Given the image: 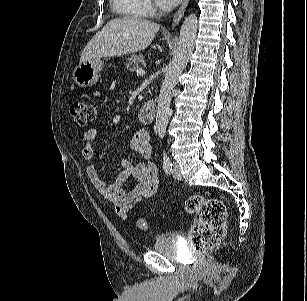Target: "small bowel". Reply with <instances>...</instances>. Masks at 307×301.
Wrapping results in <instances>:
<instances>
[{"label": "small bowel", "instance_id": "1", "mask_svg": "<svg viewBox=\"0 0 307 301\" xmlns=\"http://www.w3.org/2000/svg\"><path fill=\"white\" fill-rule=\"evenodd\" d=\"M99 132L89 129L83 134L84 159L90 160L94 155V142ZM131 149L139 154L144 161L133 164L128 157L122 159V170L111 183L103 181L96 168L89 165L87 176L100 195L110 202L115 213L122 220L127 218L129 211L143 199L152 197L159 190V180L156 166L151 161L152 147L147 130L139 129L131 140ZM133 184L130 185V181Z\"/></svg>", "mask_w": 307, "mask_h": 301}]
</instances>
